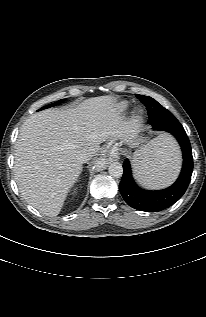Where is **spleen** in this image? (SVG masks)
<instances>
[{
  "label": "spleen",
  "mask_w": 206,
  "mask_h": 317,
  "mask_svg": "<svg viewBox=\"0 0 206 317\" xmlns=\"http://www.w3.org/2000/svg\"><path fill=\"white\" fill-rule=\"evenodd\" d=\"M181 156L175 140L160 135L133 155V171L140 184L148 188L170 185L180 168Z\"/></svg>",
  "instance_id": "spleen-1"
}]
</instances>
